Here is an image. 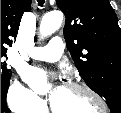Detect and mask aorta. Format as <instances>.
<instances>
[{"mask_svg":"<svg viewBox=\"0 0 121 113\" xmlns=\"http://www.w3.org/2000/svg\"><path fill=\"white\" fill-rule=\"evenodd\" d=\"M63 21V14L60 11L46 13L40 23V33L48 36L57 31Z\"/></svg>","mask_w":121,"mask_h":113,"instance_id":"762f6f07","label":"aorta"}]
</instances>
